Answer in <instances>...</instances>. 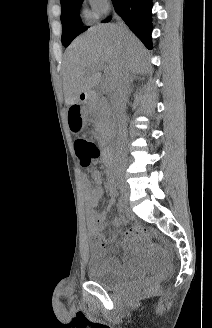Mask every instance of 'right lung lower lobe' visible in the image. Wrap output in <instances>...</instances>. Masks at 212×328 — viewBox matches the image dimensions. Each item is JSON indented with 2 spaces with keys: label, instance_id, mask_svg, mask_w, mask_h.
Masks as SVG:
<instances>
[{
  "label": "right lung lower lobe",
  "instance_id": "98d812e1",
  "mask_svg": "<svg viewBox=\"0 0 212 328\" xmlns=\"http://www.w3.org/2000/svg\"><path fill=\"white\" fill-rule=\"evenodd\" d=\"M115 11L125 21L132 32L148 48H152L151 41V0H112ZM110 21V18L105 22Z\"/></svg>",
  "mask_w": 212,
  "mask_h": 328
}]
</instances>
